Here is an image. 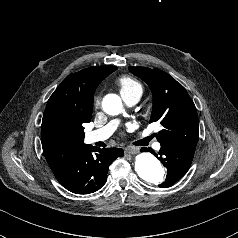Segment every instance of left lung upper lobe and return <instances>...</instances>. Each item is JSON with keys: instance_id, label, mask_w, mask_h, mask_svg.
Here are the masks:
<instances>
[{"instance_id": "1", "label": "left lung upper lobe", "mask_w": 238, "mask_h": 238, "mask_svg": "<svg viewBox=\"0 0 238 238\" xmlns=\"http://www.w3.org/2000/svg\"><path fill=\"white\" fill-rule=\"evenodd\" d=\"M129 70L145 81L152 91L150 122L159 121L164 127L156 135L158 142L196 147L199 140L198 115L186 89L159 69L129 67Z\"/></svg>"}]
</instances>
